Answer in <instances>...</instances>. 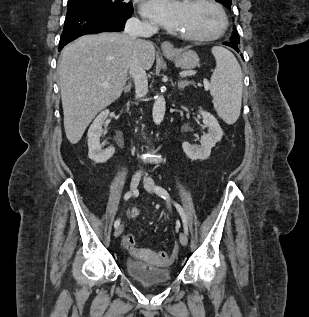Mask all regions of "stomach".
<instances>
[{
  "label": "stomach",
  "mask_w": 309,
  "mask_h": 317,
  "mask_svg": "<svg viewBox=\"0 0 309 317\" xmlns=\"http://www.w3.org/2000/svg\"><path fill=\"white\" fill-rule=\"evenodd\" d=\"M165 55L172 59L175 65L181 69L189 70L195 68L199 64V57L195 51L192 50H175L172 53H165Z\"/></svg>",
  "instance_id": "1"
}]
</instances>
